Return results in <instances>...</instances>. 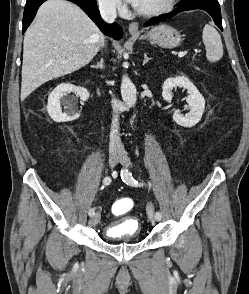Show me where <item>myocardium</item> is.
<instances>
[{"mask_svg": "<svg viewBox=\"0 0 249 294\" xmlns=\"http://www.w3.org/2000/svg\"><path fill=\"white\" fill-rule=\"evenodd\" d=\"M177 2L178 0H169V2L165 6L153 10H142L138 8L137 5H135L134 10L141 16L154 17L171 11Z\"/></svg>", "mask_w": 249, "mask_h": 294, "instance_id": "f54148a6", "label": "myocardium"}]
</instances>
